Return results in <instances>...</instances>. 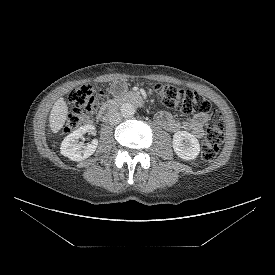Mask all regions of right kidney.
I'll list each match as a JSON object with an SVG mask.
<instances>
[{
  "label": "right kidney",
  "mask_w": 275,
  "mask_h": 275,
  "mask_svg": "<svg viewBox=\"0 0 275 275\" xmlns=\"http://www.w3.org/2000/svg\"><path fill=\"white\" fill-rule=\"evenodd\" d=\"M94 130L95 127L88 124L67 135L61 143V154L73 161H82L90 157L96 151L98 145L97 139H93L91 143L85 145L79 141V138L85 133L93 132Z\"/></svg>",
  "instance_id": "right-kidney-1"
}]
</instances>
